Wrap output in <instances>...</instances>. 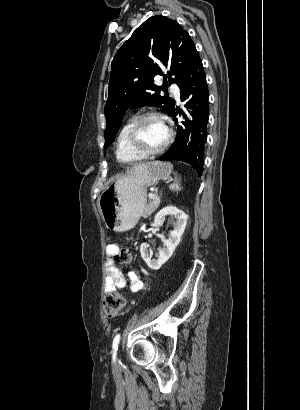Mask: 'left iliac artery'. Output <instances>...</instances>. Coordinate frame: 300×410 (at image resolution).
<instances>
[{"label": "left iliac artery", "instance_id": "left-iliac-artery-1", "mask_svg": "<svg viewBox=\"0 0 300 410\" xmlns=\"http://www.w3.org/2000/svg\"><path fill=\"white\" fill-rule=\"evenodd\" d=\"M120 338H121L120 334H117L113 339V343H112L113 359H115V357H116V352L118 350V345H119V342H120Z\"/></svg>", "mask_w": 300, "mask_h": 410}]
</instances>
